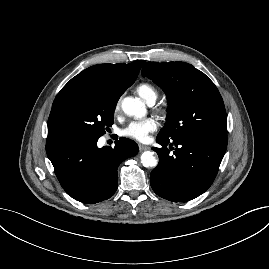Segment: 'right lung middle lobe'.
Wrapping results in <instances>:
<instances>
[{
    "instance_id": "dd1d6c3e",
    "label": "right lung middle lobe",
    "mask_w": 269,
    "mask_h": 269,
    "mask_svg": "<svg viewBox=\"0 0 269 269\" xmlns=\"http://www.w3.org/2000/svg\"><path fill=\"white\" fill-rule=\"evenodd\" d=\"M118 99L103 88L66 89L56 96L48 125L61 138L99 139L114 122Z\"/></svg>"
}]
</instances>
